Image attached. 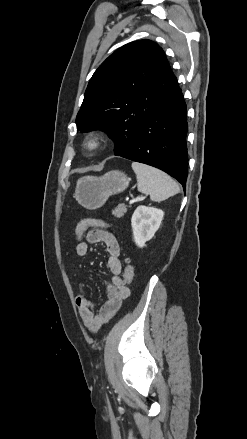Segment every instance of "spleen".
<instances>
[{
  "mask_svg": "<svg viewBox=\"0 0 247 439\" xmlns=\"http://www.w3.org/2000/svg\"><path fill=\"white\" fill-rule=\"evenodd\" d=\"M138 191L149 194L152 201L160 202L179 193L178 184L165 172L149 165L133 162Z\"/></svg>",
  "mask_w": 247,
  "mask_h": 439,
  "instance_id": "spleen-1",
  "label": "spleen"
}]
</instances>
